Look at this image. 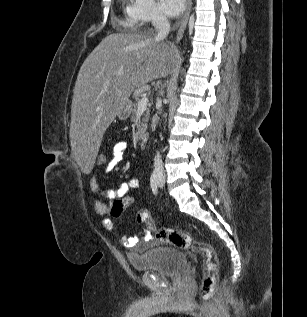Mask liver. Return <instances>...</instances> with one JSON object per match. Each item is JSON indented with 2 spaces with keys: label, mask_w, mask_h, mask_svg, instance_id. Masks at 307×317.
I'll use <instances>...</instances> for the list:
<instances>
[{
  "label": "liver",
  "mask_w": 307,
  "mask_h": 317,
  "mask_svg": "<svg viewBox=\"0 0 307 317\" xmlns=\"http://www.w3.org/2000/svg\"><path fill=\"white\" fill-rule=\"evenodd\" d=\"M176 51L145 33L105 37L81 66L75 83L70 142L78 171L91 175L106 129L135 88L166 77Z\"/></svg>",
  "instance_id": "obj_1"
}]
</instances>
